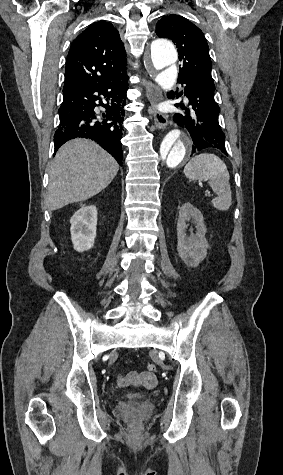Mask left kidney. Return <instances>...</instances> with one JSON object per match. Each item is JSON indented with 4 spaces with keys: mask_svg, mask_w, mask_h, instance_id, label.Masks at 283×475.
I'll return each instance as SVG.
<instances>
[{
    "mask_svg": "<svg viewBox=\"0 0 283 475\" xmlns=\"http://www.w3.org/2000/svg\"><path fill=\"white\" fill-rule=\"evenodd\" d=\"M187 220H192L193 224H195L197 230L196 234L187 236ZM206 232L207 228L200 210L194 208L189 202L183 204L179 210L177 222V251L179 257H181L187 265L196 267V265H199L200 261H203L204 257H206L209 247V243L205 238Z\"/></svg>",
    "mask_w": 283,
    "mask_h": 475,
    "instance_id": "left-kidney-1",
    "label": "left kidney"
}]
</instances>
